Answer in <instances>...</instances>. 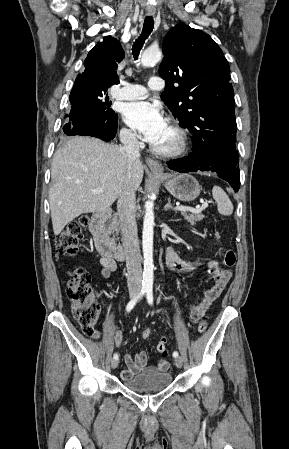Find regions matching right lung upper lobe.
<instances>
[{
  "instance_id": "right-lung-upper-lobe-1",
  "label": "right lung upper lobe",
  "mask_w": 289,
  "mask_h": 449,
  "mask_svg": "<svg viewBox=\"0 0 289 449\" xmlns=\"http://www.w3.org/2000/svg\"><path fill=\"white\" fill-rule=\"evenodd\" d=\"M123 58L124 51L120 42L111 36L104 37L103 41L97 43L88 53L84 61L85 70L77 77L74 87L81 94L108 90L119 83L116 69L117 63Z\"/></svg>"
}]
</instances>
